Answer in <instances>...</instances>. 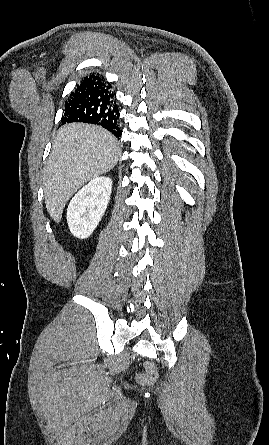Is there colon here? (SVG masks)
I'll return each mask as SVG.
<instances>
[{
	"instance_id": "1",
	"label": "colon",
	"mask_w": 269,
	"mask_h": 445,
	"mask_svg": "<svg viewBox=\"0 0 269 445\" xmlns=\"http://www.w3.org/2000/svg\"><path fill=\"white\" fill-rule=\"evenodd\" d=\"M156 369L152 363L145 365V372L140 376V380L144 383L152 382L156 378Z\"/></svg>"
}]
</instances>
